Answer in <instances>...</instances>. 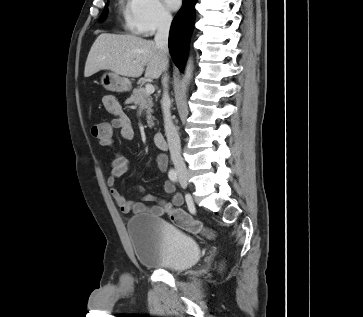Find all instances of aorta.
<instances>
[{"label":"aorta","mask_w":363,"mask_h":317,"mask_svg":"<svg viewBox=\"0 0 363 317\" xmlns=\"http://www.w3.org/2000/svg\"><path fill=\"white\" fill-rule=\"evenodd\" d=\"M192 72H193V67H192L191 61L189 60L187 62V65H186L185 71H184V75H183V83L184 84H188L189 83V81L192 78Z\"/></svg>","instance_id":"762f6f07"}]
</instances>
